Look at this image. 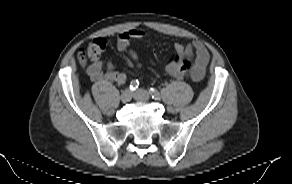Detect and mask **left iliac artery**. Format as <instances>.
Listing matches in <instances>:
<instances>
[{
  "instance_id": "44dca946",
  "label": "left iliac artery",
  "mask_w": 292,
  "mask_h": 184,
  "mask_svg": "<svg viewBox=\"0 0 292 184\" xmlns=\"http://www.w3.org/2000/svg\"><path fill=\"white\" fill-rule=\"evenodd\" d=\"M149 92H150V94H151L153 99H155V100H160L161 99V95H160L158 90H156L154 88H150Z\"/></svg>"
}]
</instances>
